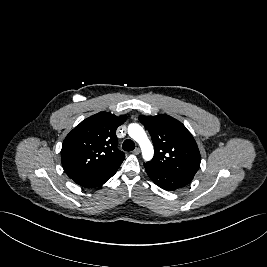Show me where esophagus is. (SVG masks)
Instances as JSON below:
<instances>
[{
	"mask_svg": "<svg viewBox=\"0 0 267 267\" xmlns=\"http://www.w3.org/2000/svg\"><path fill=\"white\" fill-rule=\"evenodd\" d=\"M139 153H140V149L139 148H136V149L133 150V154L138 155Z\"/></svg>",
	"mask_w": 267,
	"mask_h": 267,
	"instance_id": "34e87169",
	"label": "esophagus"
}]
</instances>
